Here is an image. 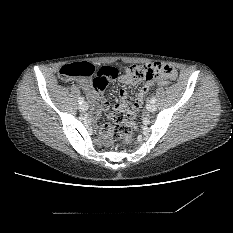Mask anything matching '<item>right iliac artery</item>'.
Listing matches in <instances>:
<instances>
[{
    "instance_id": "82829eb1",
    "label": "right iliac artery",
    "mask_w": 233,
    "mask_h": 233,
    "mask_svg": "<svg viewBox=\"0 0 233 233\" xmlns=\"http://www.w3.org/2000/svg\"><path fill=\"white\" fill-rule=\"evenodd\" d=\"M78 102H79L80 104H82V103L84 102V98L80 97V98L78 99Z\"/></svg>"
}]
</instances>
